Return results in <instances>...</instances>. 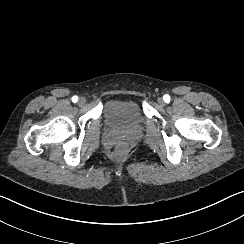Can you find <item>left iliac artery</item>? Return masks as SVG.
Returning <instances> with one entry per match:
<instances>
[{"mask_svg":"<svg viewBox=\"0 0 244 244\" xmlns=\"http://www.w3.org/2000/svg\"><path fill=\"white\" fill-rule=\"evenodd\" d=\"M163 99L166 103L170 102V96L169 95H164Z\"/></svg>","mask_w":244,"mask_h":244,"instance_id":"1","label":"left iliac artery"}]
</instances>
